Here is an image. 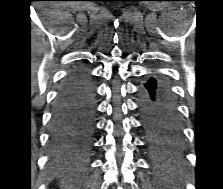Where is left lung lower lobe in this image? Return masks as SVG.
<instances>
[{"label":"left lung lower lobe","instance_id":"0a47b994","mask_svg":"<svg viewBox=\"0 0 223 189\" xmlns=\"http://www.w3.org/2000/svg\"><path fill=\"white\" fill-rule=\"evenodd\" d=\"M138 99L144 125L162 127L178 136L180 121L177 106L165 80L148 77L140 86Z\"/></svg>","mask_w":223,"mask_h":189}]
</instances>
